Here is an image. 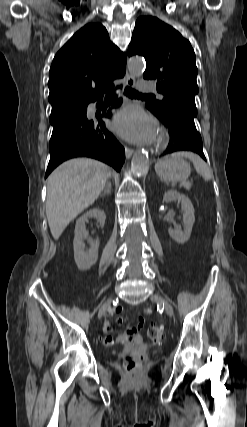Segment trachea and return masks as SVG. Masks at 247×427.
Returning <instances> with one entry per match:
<instances>
[{
  "mask_svg": "<svg viewBox=\"0 0 247 427\" xmlns=\"http://www.w3.org/2000/svg\"><path fill=\"white\" fill-rule=\"evenodd\" d=\"M125 94L128 96V97H142V96H152V95H145V94H141V93H139L138 91H136V90H134V89H132V88H130V87H126L125 88ZM108 98H115L116 97V94H115V92H108L107 93V95H106Z\"/></svg>",
  "mask_w": 247,
  "mask_h": 427,
  "instance_id": "obj_1",
  "label": "trachea"
}]
</instances>
